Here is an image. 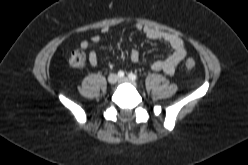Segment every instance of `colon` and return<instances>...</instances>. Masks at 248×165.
Listing matches in <instances>:
<instances>
[{
  "label": "colon",
  "instance_id": "5ec220e1",
  "mask_svg": "<svg viewBox=\"0 0 248 165\" xmlns=\"http://www.w3.org/2000/svg\"><path fill=\"white\" fill-rule=\"evenodd\" d=\"M69 63L74 68H83L86 65V55L85 53L80 49H75L71 52L69 57ZM196 66V63L193 59L188 58L185 61V68L188 70L194 69Z\"/></svg>",
  "mask_w": 248,
  "mask_h": 165
}]
</instances>
